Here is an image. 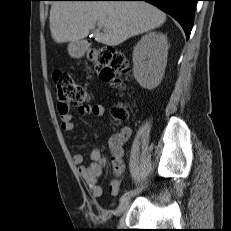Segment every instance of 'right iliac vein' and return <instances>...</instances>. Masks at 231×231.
<instances>
[{
  "label": "right iliac vein",
  "instance_id": "right-iliac-vein-1",
  "mask_svg": "<svg viewBox=\"0 0 231 231\" xmlns=\"http://www.w3.org/2000/svg\"><path fill=\"white\" fill-rule=\"evenodd\" d=\"M143 188L144 187L137 189L133 195L139 194L143 190ZM130 200H131V197H128L119 203L117 210H116L117 214L119 215L122 214L128 208L130 204Z\"/></svg>",
  "mask_w": 231,
  "mask_h": 231
}]
</instances>
